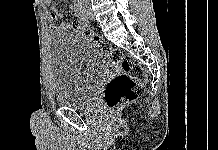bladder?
<instances>
[{"label": "bladder", "mask_w": 218, "mask_h": 150, "mask_svg": "<svg viewBox=\"0 0 218 150\" xmlns=\"http://www.w3.org/2000/svg\"><path fill=\"white\" fill-rule=\"evenodd\" d=\"M57 67L54 98L62 107L82 108L90 103L114 64L86 38L60 31L52 41Z\"/></svg>", "instance_id": "31cf9c89"}]
</instances>
